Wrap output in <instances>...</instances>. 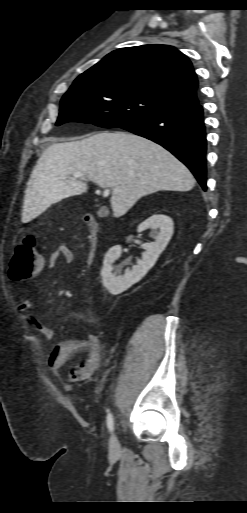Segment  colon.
<instances>
[{"label":"colon","mask_w":247,"mask_h":513,"mask_svg":"<svg viewBox=\"0 0 247 513\" xmlns=\"http://www.w3.org/2000/svg\"><path fill=\"white\" fill-rule=\"evenodd\" d=\"M41 267V261L35 253L34 239L26 237L15 249L9 266L10 278L15 282L30 279L41 270Z\"/></svg>","instance_id":"colon-1"}]
</instances>
